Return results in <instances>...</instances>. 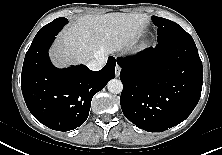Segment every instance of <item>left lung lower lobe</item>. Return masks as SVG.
I'll return each mask as SVG.
<instances>
[{
    "mask_svg": "<svg viewBox=\"0 0 222 155\" xmlns=\"http://www.w3.org/2000/svg\"><path fill=\"white\" fill-rule=\"evenodd\" d=\"M117 63L123 114L143 130L162 132L181 123L199 101L203 69L194 41L158 42Z\"/></svg>",
    "mask_w": 222,
    "mask_h": 155,
    "instance_id": "obj_1",
    "label": "left lung lower lobe"
}]
</instances>
